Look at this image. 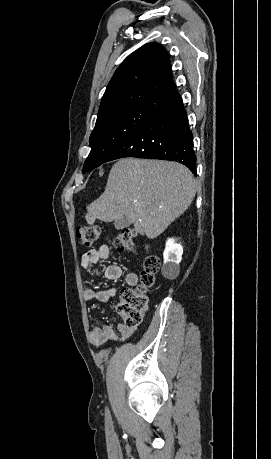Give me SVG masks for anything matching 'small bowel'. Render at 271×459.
I'll list each match as a JSON object with an SVG mask.
<instances>
[{"instance_id": "obj_1", "label": "small bowel", "mask_w": 271, "mask_h": 459, "mask_svg": "<svg viewBox=\"0 0 271 459\" xmlns=\"http://www.w3.org/2000/svg\"><path fill=\"white\" fill-rule=\"evenodd\" d=\"M110 256V249L107 245H102L97 249H91L85 252L81 258V266L88 273L93 274V266L101 260H105ZM103 277L108 280H117L122 277L123 269L117 264H111L105 267ZM126 283L133 287L138 283V276L133 272L125 274ZM117 295L115 287H108L101 291H95L92 288H85L83 296L86 301L97 300L99 302H107ZM115 328L120 333L118 338L115 334ZM137 331V327H129L124 324H118L116 327L113 324H108L102 327H94L89 334L90 342L95 347H101L108 340L124 341L130 338Z\"/></svg>"}]
</instances>
